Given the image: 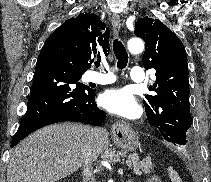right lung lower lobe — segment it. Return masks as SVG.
Returning <instances> with one entry per match:
<instances>
[{
	"label": "right lung lower lobe",
	"instance_id": "right-lung-lower-lobe-1",
	"mask_svg": "<svg viewBox=\"0 0 211 182\" xmlns=\"http://www.w3.org/2000/svg\"><path fill=\"white\" fill-rule=\"evenodd\" d=\"M87 70L79 46L65 27L46 40L37 60L27 111L11 147L33 131L62 121L101 125L106 113L95 103V90L79 82Z\"/></svg>",
	"mask_w": 211,
	"mask_h": 182
}]
</instances>
